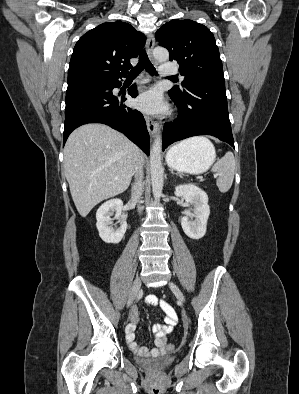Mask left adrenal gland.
<instances>
[{
    "mask_svg": "<svg viewBox=\"0 0 299 394\" xmlns=\"http://www.w3.org/2000/svg\"><path fill=\"white\" fill-rule=\"evenodd\" d=\"M170 172H171L172 174H175V175H178V176H180V177H181V175H180V174H178V173H174V171H173L172 169H170Z\"/></svg>",
    "mask_w": 299,
    "mask_h": 394,
    "instance_id": "a2214340",
    "label": "left adrenal gland"
}]
</instances>
